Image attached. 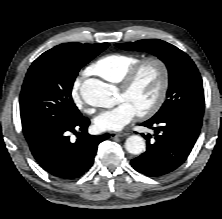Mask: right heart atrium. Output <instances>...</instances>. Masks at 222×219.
I'll return each mask as SVG.
<instances>
[{
  "label": "right heart atrium",
  "instance_id": "d8ad5b80",
  "mask_svg": "<svg viewBox=\"0 0 222 219\" xmlns=\"http://www.w3.org/2000/svg\"><path fill=\"white\" fill-rule=\"evenodd\" d=\"M72 98L75 104L86 113H91V109L86 107V100L80 92V80L76 79L72 89Z\"/></svg>",
  "mask_w": 222,
  "mask_h": 219
}]
</instances>
